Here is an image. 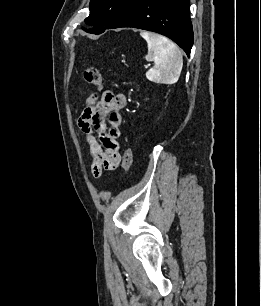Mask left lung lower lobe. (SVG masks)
Masks as SVG:
<instances>
[{
	"label": "left lung lower lobe",
	"instance_id": "1",
	"mask_svg": "<svg viewBox=\"0 0 261 306\" xmlns=\"http://www.w3.org/2000/svg\"><path fill=\"white\" fill-rule=\"evenodd\" d=\"M190 0H133L123 16L111 27H133L165 35L188 56L193 45L189 17Z\"/></svg>",
	"mask_w": 261,
	"mask_h": 306
}]
</instances>
